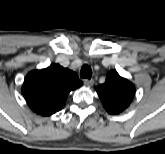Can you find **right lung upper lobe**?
<instances>
[{"label": "right lung upper lobe", "instance_id": "1", "mask_svg": "<svg viewBox=\"0 0 165 154\" xmlns=\"http://www.w3.org/2000/svg\"><path fill=\"white\" fill-rule=\"evenodd\" d=\"M81 85L82 81L75 72L53 64L45 69L29 72L25 77L22 93L35 113L49 116L61 110L70 91Z\"/></svg>", "mask_w": 165, "mask_h": 154}]
</instances>
